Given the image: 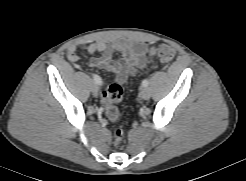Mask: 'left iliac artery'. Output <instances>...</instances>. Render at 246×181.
<instances>
[{"mask_svg":"<svg viewBox=\"0 0 246 181\" xmlns=\"http://www.w3.org/2000/svg\"><path fill=\"white\" fill-rule=\"evenodd\" d=\"M148 85H149V81L148 80H143L142 86L143 87H147Z\"/></svg>","mask_w":246,"mask_h":181,"instance_id":"obj_1","label":"left iliac artery"}]
</instances>
